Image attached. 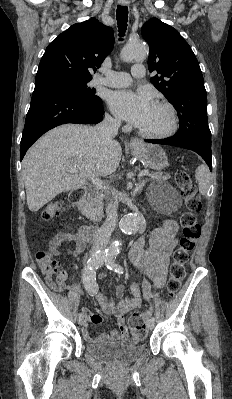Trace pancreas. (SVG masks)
Returning <instances> with one entry per match:
<instances>
[{"label": "pancreas", "instance_id": "obj_1", "mask_svg": "<svg viewBox=\"0 0 232 399\" xmlns=\"http://www.w3.org/2000/svg\"><path fill=\"white\" fill-rule=\"evenodd\" d=\"M147 178L143 182H150V180H169L171 176L163 172H149L146 174ZM105 196L99 190H95V194H88L87 200H84L82 205H79L83 215L92 219V221H100L103 217V200Z\"/></svg>", "mask_w": 232, "mask_h": 399}]
</instances>
